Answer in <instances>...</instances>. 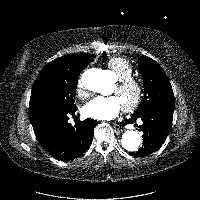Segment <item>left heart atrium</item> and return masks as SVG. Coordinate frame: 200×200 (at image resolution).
Segmentation results:
<instances>
[{
    "label": "left heart atrium",
    "instance_id": "39dd6f15",
    "mask_svg": "<svg viewBox=\"0 0 200 200\" xmlns=\"http://www.w3.org/2000/svg\"><path fill=\"white\" fill-rule=\"evenodd\" d=\"M122 108L117 96H98L85 105L84 112L97 120H111L120 114Z\"/></svg>",
    "mask_w": 200,
    "mask_h": 200
}]
</instances>
